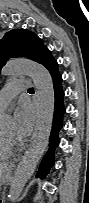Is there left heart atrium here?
<instances>
[{"label": "left heart atrium", "instance_id": "obj_1", "mask_svg": "<svg viewBox=\"0 0 89 203\" xmlns=\"http://www.w3.org/2000/svg\"><path fill=\"white\" fill-rule=\"evenodd\" d=\"M16 128L15 133L19 140L26 139L34 126V113L30 105L26 102H21L15 112Z\"/></svg>", "mask_w": 89, "mask_h": 203}]
</instances>
